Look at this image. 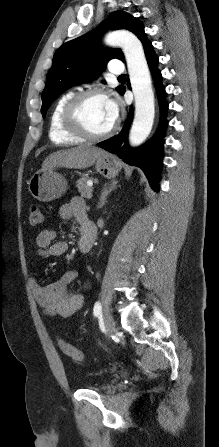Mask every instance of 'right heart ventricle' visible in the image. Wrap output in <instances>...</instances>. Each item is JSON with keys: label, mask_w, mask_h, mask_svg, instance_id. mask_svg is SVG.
Returning <instances> with one entry per match:
<instances>
[{"label": "right heart ventricle", "mask_w": 219, "mask_h": 447, "mask_svg": "<svg viewBox=\"0 0 219 447\" xmlns=\"http://www.w3.org/2000/svg\"><path fill=\"white\" fill-rule=\"evenodd\" d=\"M73 96L72 93H67L60 97L55 105L53 106L50 116H49V125H48V136L49 139L58 145L61 144H78L81 143L84 139L75 136L66 130L62 124L61 115L63 109L67 103V101Z\"/></svg>", "instance_id": "right-heart-ventricle-1"}]
</instances>
